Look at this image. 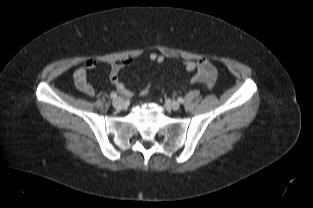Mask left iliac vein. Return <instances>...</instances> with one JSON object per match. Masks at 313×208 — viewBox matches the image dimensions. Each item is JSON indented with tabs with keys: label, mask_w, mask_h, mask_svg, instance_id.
Instances as JSON below:
<instances>
[{
	"label": "left iliac vein",
	"mask_w": 313,
	"mask_h": 208,
	"mask_svg": "<svg viewBox=\"0 0 313 208\" xmlns=\"http://www.w3.org/2000/svg\"><path fill=\"white\" fill-rule=\"evenodd\" d=\"M169 106L173 109V110H178L180 108V103L177 101H171L169 103Z\"/></svg>",
	"instance_id": "1"
}]
</instances>
